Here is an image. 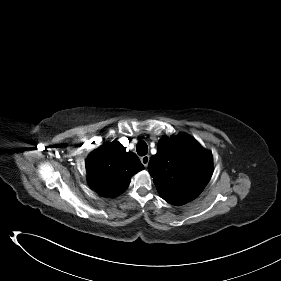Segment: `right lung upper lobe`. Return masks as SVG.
Listing matches in <instances>:
<instances>
[{
  "label": "right lung upper lobe",
  "instance_id": "1",
  "mask_svg": "<svg viewBox=\"0 0 281 281\" xmlns=\"http://www.w3.org/2000/svg\"><path fill=\"white\" fill-rule=\"evenodd\" d=\"M144 169L139 158L126 152L119 142H111L93 151L87 161L90 186L103 197H115L129 186L131 176Z\"/></svg>",
  "mask_w": 281,
  "mask_h": 281
}]
</instances>
